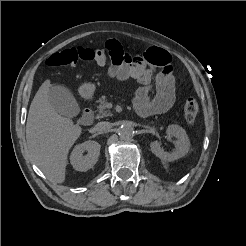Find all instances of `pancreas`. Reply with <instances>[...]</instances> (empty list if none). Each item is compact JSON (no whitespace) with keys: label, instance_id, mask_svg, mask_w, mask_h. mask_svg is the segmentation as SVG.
<instances>
[{"label":"pancreas","instance_id":"obj_1","mask_svg":"<svg viewBox=\"0 0 246 246\" xmlns=\"http://www.w3.org/2000/svg\"><path fill=\"white\" fill-rule=\"evenodd\" d=\"M99 102V105H98V113H97V116L96 118L97 119H101V118H104V117H107V116H110L111 115V111L107 109V100L105 99V97H102L98 100Z\"/></svg>","mask_w":246,"mask_h":246}]
</instances>
